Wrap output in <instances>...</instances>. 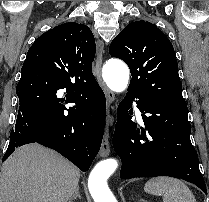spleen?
I'll use <instances>...</instances> for the list:
<instances>
[{
	"label": "spleen",
	"mask_w": 209,
	"mask_h": 202,
	"mask_svg": "<svg viewBox=\"0 0 209 202\" xmlns=\"http://www.w3.org/2000/svg\"><path fill=\"white\" fill-rule=\"evenodd\" d=\"M144 190L151 195H162L163 202H196L189 187L171 177L152 178L147 181Z\"/></svg>",
	"instance_id": "3e777b00"
}]
</instances>
